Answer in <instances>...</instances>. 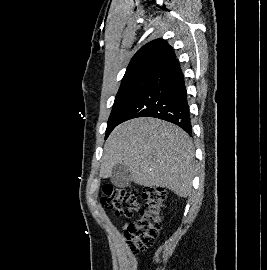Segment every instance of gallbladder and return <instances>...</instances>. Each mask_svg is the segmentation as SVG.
<instances>
[{
  "label": "gallbladder",
  "instance_id": "1",
  "mask_svg": "<svg viewBox=\"0 0 267 270\" xmlns=\"http://www.w3.org/2000/svg\"><path fill=\"white\" fill-rule=\"evenodd\" d=\"M111 182L119 187L125 188L131 184V171L130 169L122 164H117L113 167L112 173L110 176Z\"/></svg>",
  "mask_w": 267,
  "mask_h": 270
}]
</instances>
